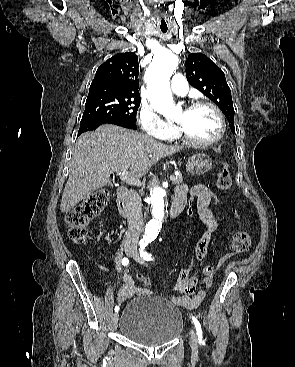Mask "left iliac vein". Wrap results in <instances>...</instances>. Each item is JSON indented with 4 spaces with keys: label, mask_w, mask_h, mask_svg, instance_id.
<instances>
[{
    "label": "left iliac vein",
    "mask_w": 295,
    "mask_h": 367,
    "mask_svg": "<svg viewBox=\"0 0 295 367\" xmlns=\"http://www.w3.org/2000/svg\"><path fill=\"white\" fill-rule=\"evenodd\" d=\"M131 256L140 264L146 265V263L140 258L138 252L136 250L132 251ZM190 346L193 352H197V335L194 329H190Z\"/></svg>",
    "instance_id": "4c4485c4"
}]
</instances>
